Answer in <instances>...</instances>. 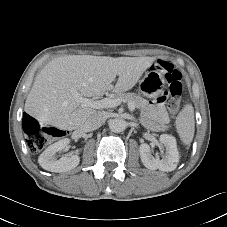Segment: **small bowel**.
Returning a JSON list of instances; mask_svg holds the SVG:
<instances>
[{
	"label": "small bowel",
	"mask_w": 227,
	"mask_h": 227,
	"mask_svg": "<svg viewBox=\"0 0 227 227\" xmlns=\"http://www.w3.org/2000/svg\"><path fill=\"white\" fill-rule=\"evenodd\" d=\"M170 97L171 92L169 90H164L162 94L155 99V102H151L149 105L152 117L162 124L168 121V115L164 103H167Z\"/></svg>",
	"instance_id": "small-bowel-1"
}]
</instances>
